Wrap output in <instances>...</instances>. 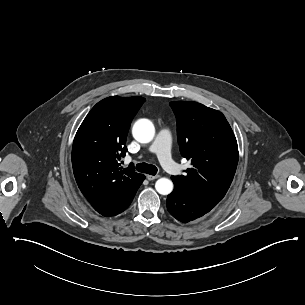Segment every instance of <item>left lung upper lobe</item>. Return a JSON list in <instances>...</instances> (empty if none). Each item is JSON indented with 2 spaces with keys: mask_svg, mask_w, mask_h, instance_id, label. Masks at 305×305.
Wrapping results in <instances>:
<instances>
[{
  "mask_svg": "<svg viewBox=\"0 0 305 305\" xmlns=\"http://www.w3.org/2000/svg\"><path fill=\"white\" fill-rule=\"evenodd\" d=\"M177 119V138L183 157L191 161L186 175L172 176L186 194L221 201L238 163L235 135L224 115L203 104L170 102Z\"/></svg>",
  "mask_w": 305,
  "mask_h": 305,
  "instance_id": "1",
  "label": "left lung upper lobe"
}]
</instances>
